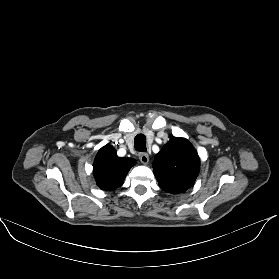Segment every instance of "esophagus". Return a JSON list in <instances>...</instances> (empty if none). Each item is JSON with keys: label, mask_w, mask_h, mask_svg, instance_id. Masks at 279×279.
Listing matches in <instances>:
<instances>
[{"label": "esophagus", "mask_w": 279, "mask_h": 279, "mask_svg": "<svg viewBox=\"0 0 279 279\" xmlns=\"http://www.w3.org/2000/svg\"><path fill=\"white\" fill-rule=\"evenodd\" d=\"M139 159L143 164H147L149 162V156L147 153H140Z\"/></svg>", "instance_id": "esophagus-1"}]
</instances>
